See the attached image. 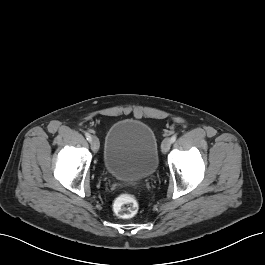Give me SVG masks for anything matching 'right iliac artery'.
Returning a JSON list of instances; mask_svg holds the SVG:
<instances>
[{"instance_id":"right-iliac-artery-1","label":"right iliac artery","mask_w":265,"mask_h":265,"mask_svg":"<svg viewBox=\"0 0 265 265\" xmlns=\"http://www.w3.org/2000/svg\"><path fill=\"white\" fill-rule=\"evenodd\" d=\"M85 136H86V139H87L89 142H91V139H92L91 135H90L89 133H85Z\"/></svg>"}]
</instances>
